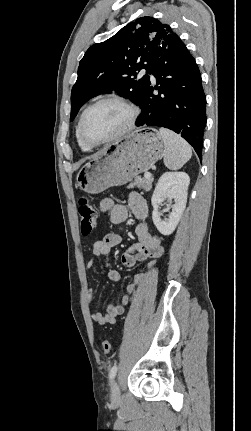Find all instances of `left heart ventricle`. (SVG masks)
<instances>
[{
	"label": "left heart ventricle",
	"mask_w": 251,
	"mask_h": 431,
	"mask_svg": "<svg viewBox=\"0 0 251 431\" xmlns=\"http://www.w3.org/2000/svg\"><path fill=\"white\" fill-rule=\"evenodd\" d=\"M129 119V111L120 104L107 102L93 108L84 121L85 136L93 141L104 140L119 132Z\"/></svg>",
	"instance_id": "1"
}]
</instances>
